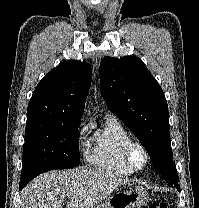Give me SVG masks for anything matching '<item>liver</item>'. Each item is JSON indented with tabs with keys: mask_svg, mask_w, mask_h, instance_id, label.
<instances>
[{
	"mask_svg": "<svg viewBox=\"0 0 199 208\" xmlns=\"http://www.w3.org/2000/svg\"><path fill=\"white\" fill-rule=\"evenodd\" d=\"M130 179L102 169L52 170L21 191L22 208H95Z\"/></svg>",
	"mask_w": 199,
	"mask_h": 208,
	"instance_id": "1",
	"label": "liver"
}]
</instances>
